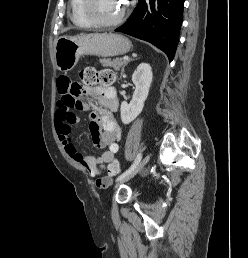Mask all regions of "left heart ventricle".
<instances>
[{"instance_id": "left-heart-ventricle-1", "label": "left heart ventricle", "mask_w": 248, "mask_h": 258, "mask_svg": "<svg viewBox=\"0 0 248 258\" xmlns=\"http://www.w3.org/2000/svg\"><path fill=\"white\" fill-rule=\"evenodd\" d=\"M123 7L121 0H94L91 10L97 19L109 21L117 18Z\"/></svg>"}]
</instances>
